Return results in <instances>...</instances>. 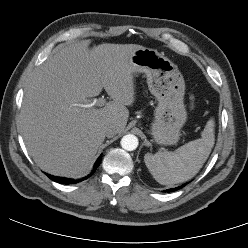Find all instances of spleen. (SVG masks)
Segmentation results:
<instances>
[{"instance_id": "3e777b00", "label": "spleen", "mask_w": 248, "mask_h": 248, "mask_svg": "<svg viewBox=\"0 0 248 248\" xmlns=\"http://www.w3.org/2000/svg\"><path fill=\"white\" fill-rule=\"evenodd\" d=\"M214 126V120L210 119L201 133V138L190 141L173 152L145 154V164L154 179L163 185H173L193 178L214 146Z\"/></svg>"}]
</instances>
